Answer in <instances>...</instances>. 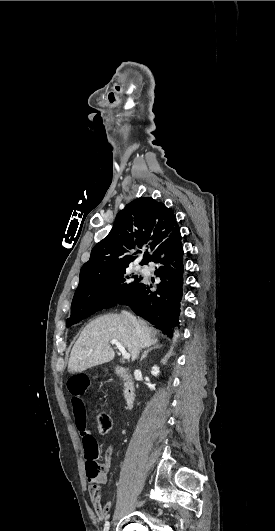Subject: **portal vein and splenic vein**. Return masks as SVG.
<instances>
[{
	"mask_svg": "<svg viewBox=\"0 0 275 531\" xmlns=\"http://www.w3.org/2000/svg\"><path fill=\"white\" fill-rule=\"evenodd\" d=\"M110 345H115V347L119 349L120 353H122L123 359H130V353H127L126 349H124L123 345H121L119 341H115V339H113V341H110Z\"/></svg>",
	"mask_w": 275,
	"mask_h": 531,
	"instance_id": "obj_1",
	"label": "portal vein and splenic vein"
}]
</instances>
